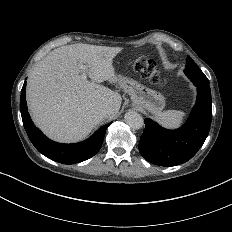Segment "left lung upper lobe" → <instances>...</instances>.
I'll list each match as a JSON object with an SVG mask.
<instances>
[{"instance_id":"left-lung-upper-lobe-1","label":"left lung upper lobe","mask_w":232,"mask_h":232,"mask_svg":"<svg viewBox=\"0 0 232 232\" xmlns=\"http://www.w3.org/2000/svg\"><path fill=\"white\" fill-rule=\"evenodd\" d=\"M184 73L192 80L196 87L204 86L209 88V80L201 69L195 64L190 56L187 57Z\"/></svg>"}]
</instances>
